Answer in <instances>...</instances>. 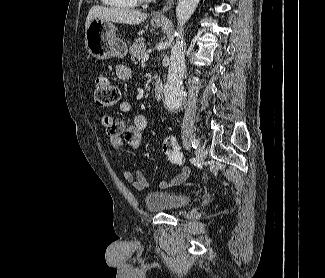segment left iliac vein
Segmentation results:
<instances>
[{
	"label": "left iliac vein",
	"mask_w": 325,
	"mask_h": 278,
	"mask_svg": "<svg viewBox=\"0 0 325 278\" xmlns=\"http://www.w3.org/2000/svg\"><path fill=\"white\" fill-rule=\"evenodd\" d=\"M205 150L203 148V146L198 145L197 149H196V157L199 161H203L205 159Z\"/></svg>",
	"instance_id": "obj_1"
}]
</instances>
